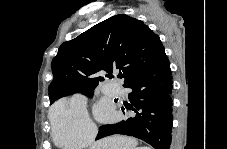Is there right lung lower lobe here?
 Here are the masks:
<instances>
[{"label": "right lung lower lobe", "instance_id": "1", "mask_svg": "<svg viewBox=\"0 0 227 149\" xmlns=\"http://www.w3.org/2000/svg\"><path fill=\"white\" fill-rule=\"evenodd\" d=\"M131 88L128 110L135 115L117 124L100 127L96 139L125 134L142 139L155 149H169L172 132V76L166 57L153 68L123 84ZM124 110V109H123Z\"/></svg>", "mask_w": 227, "mask_h": 149}]
</instances>
